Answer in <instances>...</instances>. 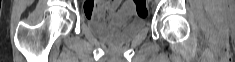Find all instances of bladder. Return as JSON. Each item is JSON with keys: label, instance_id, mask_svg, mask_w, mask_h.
Masks as SVG:
<instances>
[{"label": "bladder", "instance_id": "31cf9c89", "mask_svg": "<svg viewBox=\"0 0 235 62\" xmlns=\"http://www.w3.org/2000/svg\"><path fill=\"white\" fill-rule=\"evenodd\" d=\"M145 25V17L132 9L114 12L107 22L87 21V26L92 33L114 44L131 40L144 29Z\"/></svg>", "mask_w": 235, "mask_h": 62}]
</instances>
